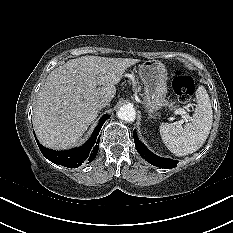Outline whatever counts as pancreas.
Instances as JSON below:
<instances>
[{"label":"pancreas","instance_id":"obj_1","mask_svg":"<svg viewBox=\"0 0 233 233\" xmlns=\"http://www.w3.org/2000/svg\"><path fill=\"white\" fill-rule=\"evenodd\" d=\"M134 88L136 89V91H140L141 90V86L138 84V81H135V83L133 84ZM166 106H169L171 108H175V102H168L166 101Z\"/></svg>","mask_w":233,"mask_h":233}]
</instances>
